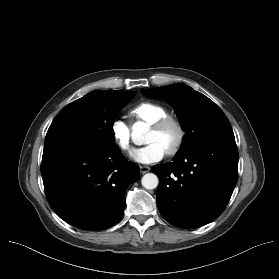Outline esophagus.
I'll use <instances>...</instances> for the list:
<instances>
[{"label": "esophagus", "instance_id": "1", "mask_svg": "<svg viewBox=\"0 0 279 279\" xmlns=\"http://www.w3.org/2000/svg\"><path fill=\"white\" fill-rule=\"evenodd\" d=\"M149 171H150V167L149 166H140V172L142 174H145V173H147Z\"/></svg>", "mask_w": 279, "mask_h": 279}]
</instances>
